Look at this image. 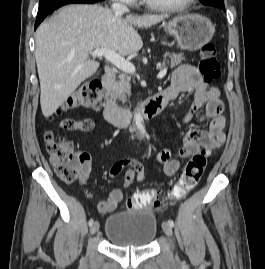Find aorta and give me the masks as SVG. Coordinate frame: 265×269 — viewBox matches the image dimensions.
<instances>
[{
    "label": "aorta",
    "mask_w": 265,
    "mask_h": 269,
    "mask_svg": "<svg viewBox=\"0 0 265 269\" xmlns=\"http://www.w3.org/2000/svg\"><path fill=\"white\" fill-rule=\"evenodd\" d=\"M133 121L135 123V126H136L138 132H139L140 137L141 138L144 137L146 130H145L143 118H142L140 111L137 110L134 112Z\"/></svg>",
    "instance_id": "1"
}]
</instances>
